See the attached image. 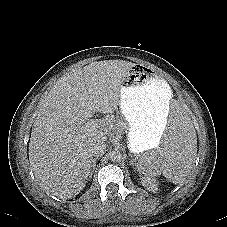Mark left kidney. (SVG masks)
<instances>
[{"label": "left kidney", "instance_id": "5707ae66", "mask_svg": "<svg viewBox=\"0 0 227 227\" xmlns=\"http://www.w3.org/2000/svg\"><path fill=\"white\" fill-rule=\"evenodd\" d=\"M141 183L148 191L156 192L158 190V183L148 176L142 177Z\"/></svg>", "mask_w": 227, "mask_h": 227}]
</instances>
